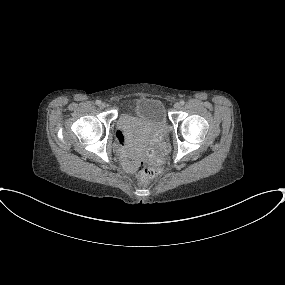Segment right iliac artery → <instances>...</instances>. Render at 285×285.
<instances>
[{"instance_id":"1","label":"right iliac artery","mask_w":285,"mask_h":285,"mask_svg":"<svg viewBox=\"0 0 285 285\" xmlns=\"http://www.w3.org/2000/svg\"><path fill=\"white\" fill-rule=\"evenodd\" d=\"M100 103H101L100 100H97V101H96V104H97V105H100Z\"/></svg>"}]
</instances>
